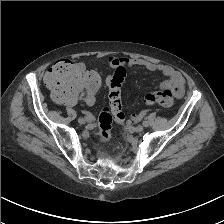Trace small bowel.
<instances>
[{"label":"small bowel","instance_id":"small-bowel-1","mask_svg":"<svg viewBox=\"0 0 224 224\" xmlns=\"http://www.w3.org/2000/svg\"><path fill=\"white\" fill-rule=\"evenodd\" d=\"M107 64L114 69L141 66L149 71L159 72L166 77V79L161 83V88L163 90H170L175 98H180L184 94V78L180 72L174 70L170 66L156 64L142 58H128L118 56L108 57Z\"/></svg>","mask_w":224,"mask_h":224}]
</instances>
